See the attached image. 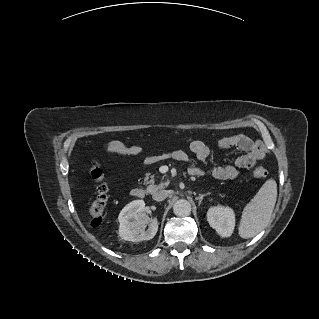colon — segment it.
Segmentation results:
<instances>
[{
    "label": "colon",
    "mask_w": 319,
    "mask_h": 319,
    "mask_svg": "<svg viewBox=\"0 0 319 319\" xmlns=\"http://www.w3.org/2000/svg\"><path fill=\"white\" fill-rule=\"evenodd\" d=\"M253 175L258 178L266 177L268 172L263 167H256L252 171ZM90 177L97 183V198L92 202L90 206V224L93 227L99 226L105 214L106 200H107V188L104 183V176L102 170L98 166H93L90 169Z\"/></svg>",
    "instance_id": "1"
}]
</instances>
